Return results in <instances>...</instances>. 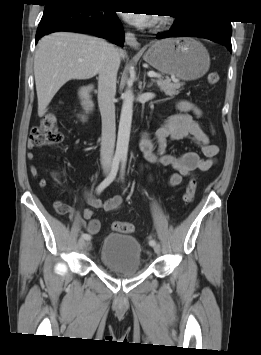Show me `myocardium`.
<instances>
[{
  "instance_id": "myocardium-1",
  "label": "myocardium",
  "mask_w": 261,
  "mask_h": 355,
  "mask_svg": "<svg viewBox=\"0 0 261 355\" xmlns=\"http://www.w3.org/2000/svg\"><path fill=\"white\" fill-rule=\"evenodd\" d=\"M170 22V19L168 17H160L159 22L157 24L158 27H163L166 26Z\"/></svg>"
}]
</instances>
